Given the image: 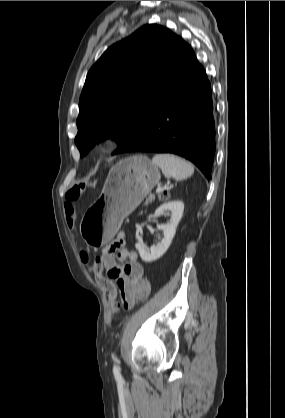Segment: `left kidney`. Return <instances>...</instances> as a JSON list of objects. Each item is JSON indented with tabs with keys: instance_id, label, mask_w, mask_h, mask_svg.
Returning a JSON list of instances; mask_svg holds the SVG:
<instances>
[{
	"instance_id": "5707ae66",
	"label": "left kidney",
	"mask_w": 285,
	"mask_h": 418,
	"mask_svg": "<svg viewBox=\"0 0 285 418\" xmlns=\"http://www.w3.org/2000/svg\"><path fill=\"white\" fill-rule=\"evenodd\" d=\"M167 211L171 213L170 221L166 224L157 225L158 229L163 231V239L157 245L151 246L150 249H146L141 242H138L135 245L144 262H152L160 258L167 251L175 235L177 225L183 215L184 203L179 200L164 203L156 209L154 216L157 217Z\"/></svg>"
}]
</instances>
